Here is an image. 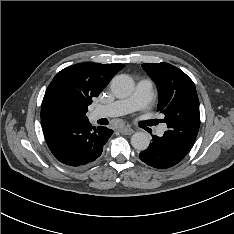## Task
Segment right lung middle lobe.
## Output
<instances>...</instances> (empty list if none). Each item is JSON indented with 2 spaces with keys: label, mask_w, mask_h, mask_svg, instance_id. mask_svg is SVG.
Segmentation results:
<instances>
[{
  "label": "right lung middle lobe",
  "mask_w": 234,
  "mask_h": 234,
  "mask_svg": "<svg viewBox=\"0 0 234 234\" xmlns=\"http://www.w3.org/2000/svg\"><path fill=\"white\" fill-rule=\"evenodd\" d=\"M76 118L78 117L63 104H52L41 110L42 127Z\"/></svg>",
  "instance_id": "1"
}]
</instances>
